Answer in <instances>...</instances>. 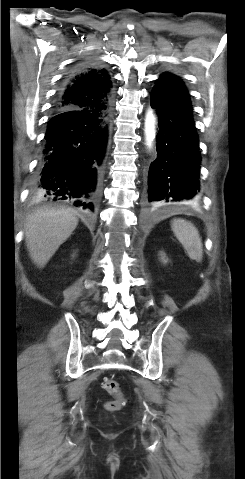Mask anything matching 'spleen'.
Listing matches in <instances>:
<instances>
[{
  "label": "spleen",
  "mask_w": 245,
  "mask_h": 479,
  "mask_svg": "<svg viewBox=\"0 0 245 479\" xmlns=\"http://www.w3.org/2000/svg\"><path fill=\"white\" fill-rule=\"evenodd\" d=\"M171 227L189 258L201 262L203 249L198 229L190 221L181 218L173 219Z\"/></svg>",
  "instance_id": "1"
}]
</instances>
